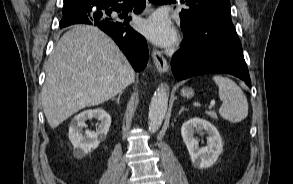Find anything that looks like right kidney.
<instances>
[{
	"label": "right kidney",
	"instance_id": "ca27d5eb",
	"mask_svg": "<svg viewBox=\"0 0 293 184\" xmlns=\"http://www.w3.org/2000/svg\"><path fill=\"white\" fill-rule=\"evenodd\" d=\"M92 118L98 119L100 122L96 132L86 130L83 133L82 129L87 127L85 122ZM110 125V115L101 108L86 110L75 116L70 123L68 133L69 140L74 147V156L82 158L95 150L99 146L100 141L106 138Z\"/></svg>",
	"mask_w": 293,
	"mask_h": 184
}]
</instances>
